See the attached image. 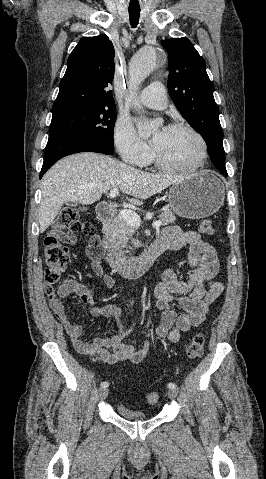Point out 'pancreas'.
I'll use <instances>...</instances> for the list:
<instances>
[{"label":"pancreas","mask_w":266,"mask_h":479,"mask_svg":"<svg viewBox=\"0 0 266 479\" xmlns=\"http://www.w3.org/2000/svg\"><path fill=\"white\" fill-rule=\"evenodd\" d=\"M159 219L164 225L172 224L176 221V217L170 209H165L159 215ZM111 228L108 233L105 234L106 246L109 251H116L120 254H124L127 251V243L133 236L137 227L131 226L120 216H116L111 222Z\"/></svg>","instance_id":"obj_1"}]
</instances>
